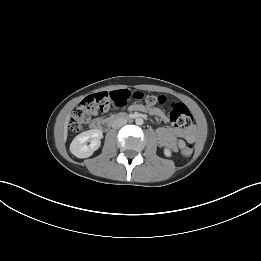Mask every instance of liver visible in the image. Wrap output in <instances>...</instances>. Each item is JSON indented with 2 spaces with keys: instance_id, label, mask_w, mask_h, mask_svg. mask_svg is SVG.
I'll list each match as a JSON object with an SVG mask.
<instances>
[{
  "instance_id": "obj_1",
  "label": "liver",
  "mask_w": 261,
  "mask_h": 261,
  "mask_svg": "<svg viewBox=\"0 0 261 261\" xmlns=\"http://www.w3.org/2000/svg\"><path fill=\"white\" fill-rule=\"evenodd\" d=\"M69 120H70V116L68 115L66 117L65 122H64V128H63V139H64V141H66V139H67Z\"/></svg>"
}]
</instances>
